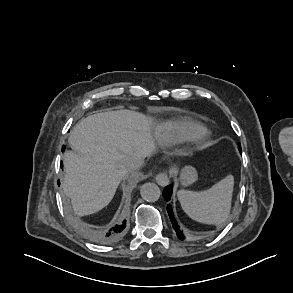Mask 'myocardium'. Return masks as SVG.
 I'll use <instances>...</instances> for the list:
<instances>
[{
	"label": "myocardium",
	"mask_w": 293,
	"mask_h": 293,
	"mask_svg": "<svg viewBox=\"0 0 293 293\" xmlns=\"http://www.w3.org/2000/svg\"><path fill=\"white\" fill-rule=\"evenodd\" d=\"M208 135V130L204 126H199L191 135L190 139L194 142H199L205 139Z\"/></svg>",
	"instance_id": "obj_1"
}]
</instances>
